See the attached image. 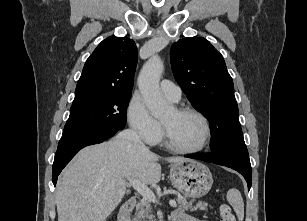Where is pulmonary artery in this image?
Instances as JSON below:
<instances>
[{
  "instance_id": "pulmonary-artery-1",
  "label": "pulmonary artery",
  "mask_w": 307,
  "mask_h": 221,
  "mask_svg": "<svg viewBox=\"0 0 307 221\" xmlns=\"http://www.w3.org/2000/svg\"><path fill=\"white\" fill-rule=\"evenodd\" d=\"M161 93L173 102H178L181 98V89L170 80H162L160 83Z\"/></svg>"
}]
</instances>
